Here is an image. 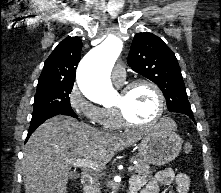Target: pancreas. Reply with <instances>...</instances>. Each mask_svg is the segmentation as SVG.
Instances as JSON below:
<instances>
[{
  "mask_svg": "<svg viewBox=\"0 0 221 193\" xmlns=\"http://www.w3.org/2000/svg\"><path fill=\"white\" fill-rule=\"evenodd\" d=\"M132 160H137V164L133 166L134 172L142 175L144 177L149 176L151 174L150 166L143 162L141 159L132 158ZM100 182L99 176H94L93 180L91 181L90 185L86 189V193H100Z\"/></svg>",
  "mask_w": 221,
  "mask_h": 193,
  "instance_id": "cf45deb5",
  "label": "pancreas"
}]
</instances>
